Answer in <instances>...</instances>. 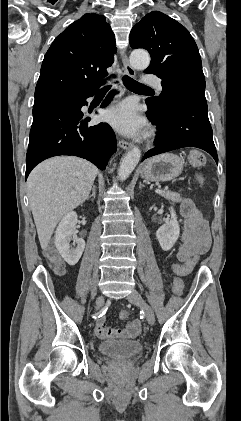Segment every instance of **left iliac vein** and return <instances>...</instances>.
Masks as SVG:
<instances>
[{
    "mask_svg": "<svg viewBox=\"0 0 241 421\" xmlns=\"http://www.w3.org/2000/svg\"><path fill=\"white\" fill-rule=\"evenodd\" d=\"M127 299L142 308L146 315V319L150 325H153L155 322V316L152 308L148 305V303L143 299L141 294L137 290H133L127 297Z\"/></svg>",
    "mask_w": 241,
    "mask_h": 421,
    "instance_id": "4c4485c4",
    "label": "left iliac vein"
}]
</instances>
